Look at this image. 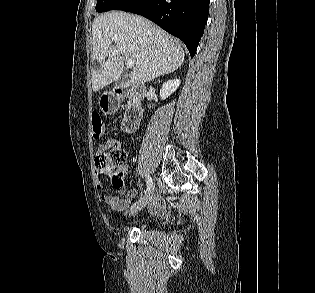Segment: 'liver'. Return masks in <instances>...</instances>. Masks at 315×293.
Wrapping results in <instances>:
<instances>
[{
	"instance_id": "liver-1",
	"label": "liver",
	"mask_w": 315,
	"mask_h": 293,
	"mask_svg": "<svg viewBox=\"0 0 315 293\" xmlns=\"http://www.w3.org/2000/svg\"><path fill=\"white\" fill-rule=\"evenodd\" d=\"M92 37V59L101 65L92 75L95 92L122 75L125 58L135 61L129 77L140 85L176 71L185 57L177 39L151 21L121 11L97 16Z\"/></svg>"
}]
</instances>
